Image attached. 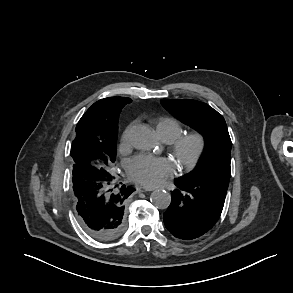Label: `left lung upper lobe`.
<instances>
[{
  "mask_svg": "<svg viewBox=\"0 0 293 293\" xmlns=\"http://www.w3.org/2000/svg\"><path fill=\"white\" fill-rule=\"evenodd\" d=\"M161 104L174 117L200 132L206 142L201 165L181 178L228 186L232 143L223 116L209 105L191 99H162Z\"/></svg>",
  "mask_w": 293,
  "mask_h": 293,
  "instance_id": "5c2ea615",
  "label": "left lung upper lobe"
}]
</instances>
